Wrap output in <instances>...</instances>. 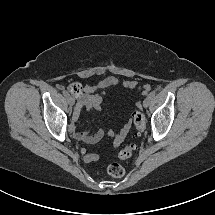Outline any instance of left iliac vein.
<instances>
[{"mask_svg": "<svg viewBox=\"0 0 215 215\" xmlns=\"http://www.w3.org/2000/svg\"><path fill=\"white\" fill-rule=\"evenodd\" d=\"M150 102H151V98L149 97L145 98L143 101V106L147 108L150 105Z\"/></svg>", "mask_w": 215, "mask_h": 215, "instance_id": "left-iliac-vein-1", "label": "left iliac vein"}]
</instances>
